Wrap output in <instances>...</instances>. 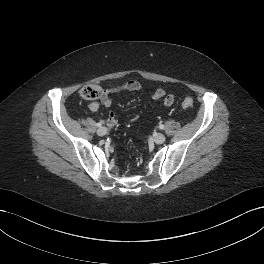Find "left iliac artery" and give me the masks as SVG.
<instances>
[{
    "instance_id": "obj_1",
    "label": "left iliac artery",
    "mask_w": 264,
    "mask_h": 264,
    "mask_svg": "<svg viewBox=\"0 0 264 264\" xmlns=\"http://www.w3.org/2000/svg\"><path fill=\"white\" fill-rule=\"evenodd\" d=\"M159 128H160V129H164V125L160 124V125H159Z\"/></svg>"
}]
</instances>
